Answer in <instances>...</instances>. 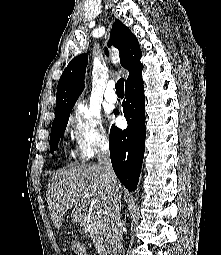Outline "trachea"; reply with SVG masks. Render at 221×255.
I'll list each match as a JSON object with an SVG mask.
<instances>
[{
    "label": "trachea",
    "mask_w": 221,
    "mask_h": 255,
    "mask_svg": "<svg viewBox=\"0 0 221 255\" xmlns=\"http://www.w3.org/2000/svg\"><path fill=\"white\" fill-rule=\"evenodd\" d=\"M115 88H116V92L117 93H120V94H123L124 93V79L123 78H120L116 85H115Z\"/></svg>",
    "instance_id": "3493384b"
}]
</instances>
